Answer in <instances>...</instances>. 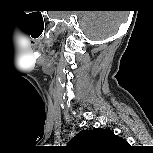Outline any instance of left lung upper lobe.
Instances as JSON below:
<instances>
[{
	"instance_id": "1",
	"label": "left lung upper lobe",
	"mask_w": 153,
	"mask_h": 153,
	"mask_svg": "<svg viewBox=\"0 0 153 153\" xmlns=\"http://www.w3.org/2000/svg\"><path fill=\"white\" fill-rule=\"evenodd\" d=\"M69 145L88 153H102L124 148L127 142L109 129L95 128L80 131Z\"/></svg>"
}]
</instances>
